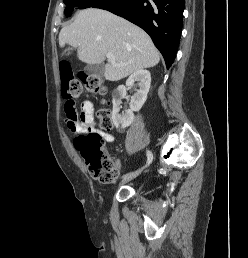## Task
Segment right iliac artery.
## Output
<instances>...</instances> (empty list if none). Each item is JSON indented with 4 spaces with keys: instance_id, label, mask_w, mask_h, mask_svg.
<instances>
[{
    "instance_id": "82829eb1",
    "label": "right iliac artery",
    "mask_w": 248,
    "mask_h": 258,
    "mask_svg": "<svg viewBox=\"0 0 248 258\" xmlns=\"http://www.w3.org/2000/svg\"><path fill=\"white\" fill-rule=\"evenodd\" d=\"M152 160H153L152 152L147 150V165H149L152 162ZM128 175H131V173L124 175V177H127Z\"/></svg>"
}]
</instances>
